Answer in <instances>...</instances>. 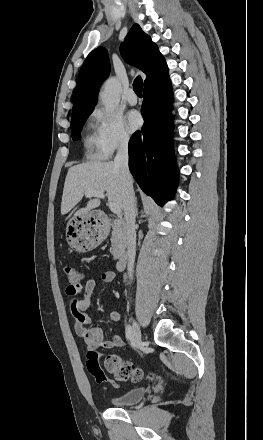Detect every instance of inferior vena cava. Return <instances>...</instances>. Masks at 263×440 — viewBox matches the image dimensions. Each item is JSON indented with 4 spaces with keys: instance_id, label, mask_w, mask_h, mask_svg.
Masks as SVG:
<instances>
[{
    "instance_id": "obj_1",
    "label": "inferior vena cava",
    "mask_w": 263,
    "mask_h": 440,
    "mask_svg": "<svg viewBox=\"0 0 263 440\" xmlns=\"http://www.w3.org/2000/svg\"><path fill=\"white\" fill-rule=\"evenodd\" d=\"M128 143L127 136L122 137L117 154L114 158V165L119 168L122 180V206L124 210V218L126 221V246L128 256V276L133 279V269L136 255V232H135V194L133 190L132 176L129 171L128 161Z\"/></svg>"
}]
</instances>
